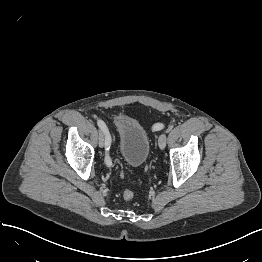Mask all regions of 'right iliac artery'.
<instances>
[{"instance_id":"1","label":"right iliac artery","mask_w":262,"mask_h":262,"mask_svg":"<svg viewBox=\"0 0 262 262\" xmlns=\"http://www.w3.org/2000/svg\"><path fill=\"white\" fill-rule=\"evenodd\" d=\"M98 126L100 127L101 130H103L106 134V144H105V148H106V155H105V162L108 166L112 165V161L111 158L108 154V151L110 149V143H111V137L108 131L107 126L105 125V123L102 120H98L97 121Z\"/></svg>"}]
</instances>
